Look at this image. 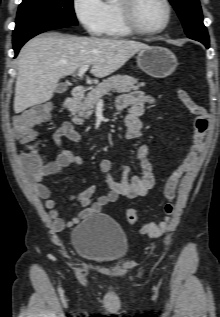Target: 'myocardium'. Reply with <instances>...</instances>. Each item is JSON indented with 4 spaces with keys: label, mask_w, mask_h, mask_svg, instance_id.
Masks as SVG:
<instances>
[{
    "label": "myocardium",
    "mask_w": 220,
    "mask_h": 317,
    "mask_svg": "<svg viewBox=\"0 0 220 317\" xmlns=\"http://www.w3.org/2000/svg\"><path fill=\"white\" fill-rule=\"evenodd\" d=\"M140 0H117V9L124 26L133 34L149 36L162 33L170 25L173 17V8L169 0H162L167 10L166 20L157 29L142 28L136 18V10Z\"/></svg>",
    "instance_id": "myocardium-1"
}]
</instances>
